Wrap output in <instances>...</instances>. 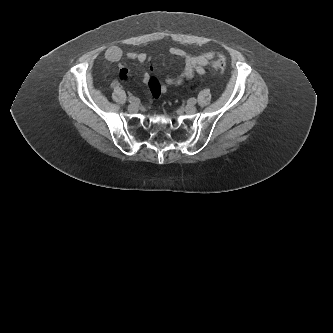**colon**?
<instances>
[{"label": "colon", "mask_w": 333, "mask_h": 333, "mask_svg": "<svg viewBox=\"0 0 333 333\" xmlns=\"http://www.w3.org/2000/svg\"><path fill=\"white\" fill-rule=\"evenodd\" d=\"M212 67L217 71V72H223L226 68V62L223 58H218L212 63ZM198 86V83H194L190 86V89L193 90Z\"/></svg>", "instance_id": "1"}]
</instances>
